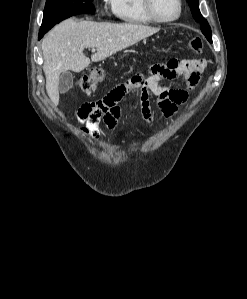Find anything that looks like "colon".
Segmentation results:
<instances>
[{
	"label": "colon",
	"mask_w": 247,
	"mask_h": 299,
	"mask_svg": "<svg viewBox=\"0 0 247 299\" xmlns=\"http://www.w3.org/2000/svg\"><path fill=\"white\" fill-rule=\"evenodd\" d=\"M188 46L191 51L198 53L203 48V41L200 37H194L189 40ZM104 76V70L97 69L90 74L83 75L78 81V87L82 92L91 94L95 91L97 84L104 79Z\"/></svg>",
	"instance_id": "1"
}]
</instances>
